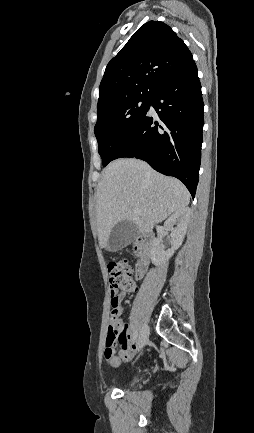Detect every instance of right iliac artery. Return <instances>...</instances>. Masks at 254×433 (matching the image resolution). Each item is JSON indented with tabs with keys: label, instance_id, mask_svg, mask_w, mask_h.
Returning a JSON list of instances; mask_svg holds the SVG:
<instances>
[{
	"label": "right iliac artery",
	"instance_id": "1",
	"mask_svg": "<svg viewBox=\"0 0 254 433\" xmlns=\"http://www.w3.org/2000/svg\"><path fill=\"white\" fill-rule=\"evenodd\" d=\"M137 336H138V332H136V334H135V336H134V339H136V338H137Z\"/></svg>",
	"mask_w": 254,
	"mask_h": 433
}]
</instances>
